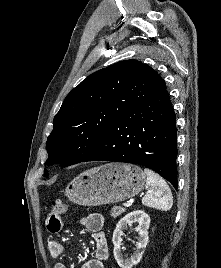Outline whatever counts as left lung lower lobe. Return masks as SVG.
<instances>
[{"mask_svg": "<svg viewBox=\"0 0 221 268\" xmlns=\"http://www.w3.org/2000/svg\"><path fill=\"white\" fill-rule=\"evenodd\" d=\"M176 117L166 88L119 116L86 161L146 166L177 188Z\"/></svg>", "mask_w": 221, "mask_h": 268, "instance_id": "1", "label": "left lung lower lobe"}]
</instances>
